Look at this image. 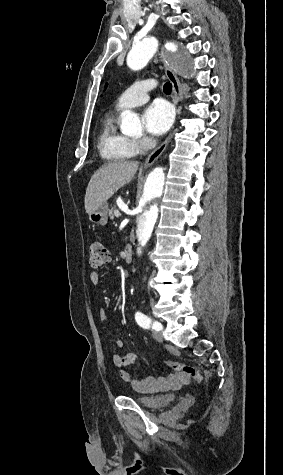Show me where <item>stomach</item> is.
<instances>
[{
	"label": "stomach",
	"instance_id": "stomach-1",
	"mask_svg": "<svg viewBox=\"0 0 283 475\" xmlns=\"http://www.w3.org/2000/svg\"><path fill=\"white\" fill-rule=\"evenodd\" d=\"M108 204H102L98 210H95V212H90L88 214L90 222H93V224H101V226H105L107 224L108 220Z\"/></svg>",
	"mask_w": 283,
	"mask_h": 475
}]
</instances>
